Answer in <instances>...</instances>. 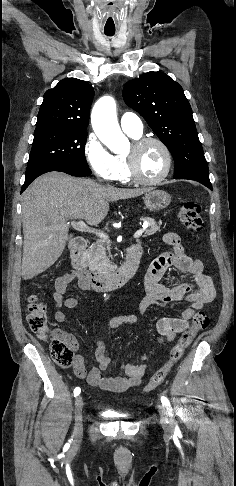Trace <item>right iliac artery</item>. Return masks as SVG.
<instances>
[{
	"mask_svg": "<svg viewBox=\"0 0 236 486\" xmlns=\"http://www.w3.org/2000/svg\"><path fill=\"white\" fill-rule=\"evenodd\" d=\"M80 392H81V389H80L79 387H76V388L74 389V396H75V397H76V396H78V395L80 394Z\"/></svg>",
	"mask_w": 236,
	"mask_h": 486,
	"instance_id": "obj_1",
	"label": "right iliac artery"
}]
</instances>
